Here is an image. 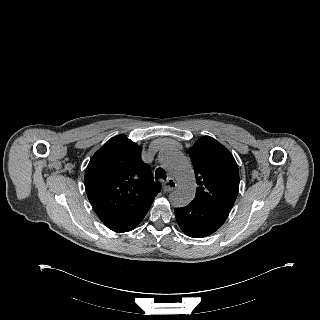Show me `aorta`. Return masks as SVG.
<instances>
[{
	"label": "aorta",
	"mask_w": 320,
	"mask_h": 320,
	"mask_svg": "<svg viewBox=\"0 0 320 320\" xmlns=\"http://www.w3.org/2000/svg\"><path fill=\"white\" fill-rule=\"evenodd\" d=\"M162 165L178 180L179 187L171 193L170 201L174 207H184L195 197L196 183L190 161L177 149L166 148L160 154Z\"/></svg>",
	"instance_id": "1"
}]
</instances>
